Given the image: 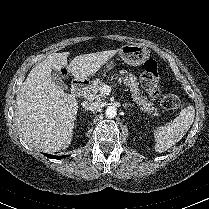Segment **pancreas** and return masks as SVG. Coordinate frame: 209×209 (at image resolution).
I'll use <instances>...</instances> for the list:
<instances>
[{
    "instance_id": "cf45deb5",
    "label": "pancreas",
    "mask_w": 209,
    "mask_h": 209,
    "mask_svg": "<svg viewBox=\"0 0 209 209\" xmlns=\"http://www.w3.org/2000/svg\"><path fill=\"white\" fill-rule=\"evenodd\" d=\"M120 75V81L130 89L133 101L140 107V109L147 112V114L158 116L157 109L153 107V103L148 102L147 98L141 94L140 89L138 88L137 78L132 74L128 75V72L124 70L120 71ZM123 75L125 76L123 77ZM103 85L104 83L101 80H94L92 85L84 91V97L89 101H100L104 97V95L100 94Z\"/></svg>"
}]
</instances>
